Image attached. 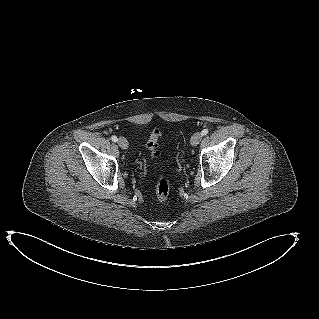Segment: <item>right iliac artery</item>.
Returning a JSON list of instances; mask_svg holds the SVG:
<instances>
[{"label": "right iliac artery", "instance_id": "obj_1", "mask_svg": "<svg viewBox=\"0 0 319 319\" xmlns=\"http://www.w3.org/2000/svg\"><path fill=\"white\" fill-rule=\"evenodd\" d=\"M111 139H112L113 142H117V141H118V138H117L115 135H113V136L111 137Z\"/></svg>", "mask_w": 319, "mask_h": 319}]
</instances>
